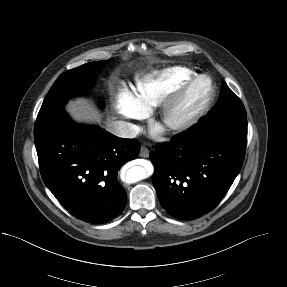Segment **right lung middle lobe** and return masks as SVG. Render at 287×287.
Masks as SVG:
<instances>
[{
	"label": "right lung middle lobe",
	"mask_w": 287,
	"mask_h": 287,
	"mask_svg": "<svg viewBox=\"0 0 287 287\" xmlns=\"http://www.w3.org/2000/svg\"><path fill=\"white\" fill-rule=\"evenodd\" d=\"M104 64L91 62L61 74L46 95L37 120L59 113L71 97L86 93Z\"/></svg>",
	"instance_id": "dd1d6c3e"
}]
</instances>
